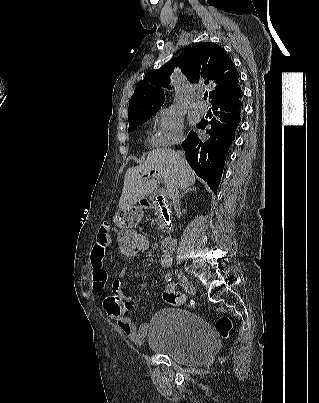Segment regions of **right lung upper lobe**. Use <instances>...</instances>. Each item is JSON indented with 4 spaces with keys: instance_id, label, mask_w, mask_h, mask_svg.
<instances>
[{
    "instance_id": "right-lung-upper-lobe-1",
    "label": "right lung upper lobe",
    "mask_w": 319,
    "mask_h": 403,
    "mask_svg": "<svg viewBox=\"0 0 319 403\" xmlns=\"http://www.w3.org/2000/svg\"><path fill=\"white\" fill-rule=\"evenodd\" d=\"M179 67L191 83L213 85L211 104L232 98L242 92L238 73L226 51L209 42L188 47L174 60L149 72L138 83L129 103L128 120H136L160 109L165 100L162 87L170 88V74Z\"/></svg>"
}]
</instances>
